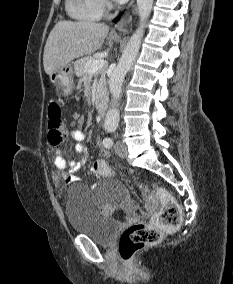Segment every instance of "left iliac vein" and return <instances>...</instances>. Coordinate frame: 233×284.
<instances>
[{
	"instance_id": "left-iliac-vein-1",
	"label": "left iliac vein",
	"mask_w": 233,
	"mask_h": 284,
	"mask_svg": "<svg viewBox=\"0 0 233 284\" xmlns=\"http://www.w3.org/2000/svg\"><path fill=\"white\" fill-rule=\"evenodd\" d=\"M115 152L118 156L125 158L128 155L127 146L122 142H117L114 146Z\"/></svg>"
}]
</instances>
